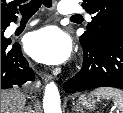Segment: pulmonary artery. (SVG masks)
<instances>
[{"instance_id":"obj_1","label":"pulmonary artery","mask_w":123,"mask_h":113,"mask_svg":"<svg viewBox=\"0 0 123 113\" xmlns=\"http://www.w3.org/2000/svg\"><path fill=\"white\" fill-rule=\"evenodd\" d=\"M59 11L63 14H73L80 11L79 4L74 1H61L59 3ZM36 24V21H31L28 23L27 27H32ZM18 26L15 25L14 28Z\"/></svg>"}]
</instances>
